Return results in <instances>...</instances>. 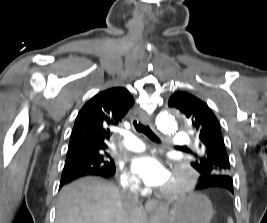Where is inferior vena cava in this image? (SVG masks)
I'll return each mask as SVG.
<instances>
[{
    "label": "inferior vena cava",
    "mask_w": 267,
    "mask_h": 223,
    "mask_svg": "<svg viewBox=\"0 0 267 223\" xmlns=\"http://www.w3.org/2000/svg\"><path fill=\"white\" fill-rule=\"evenodd\" d=\"M137 187V185H131L122 192L124 206L127 210L139 204Z\"/></svg>",
    "instance_id": "inferior-vena-cava-1"
}]
</instances>
